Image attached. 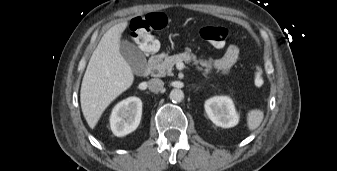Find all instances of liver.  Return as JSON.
<instances>
[{"label":"liver","instance_id":"liver-1","mask_svg":"<svg viewBox=\"0 0 337 171\" xmlns=\"http://www.w3.org/2000/svg\"><path fill=\"white\" fill-rule=\"evenodd\" d=\"M127 25V22L118 23L102 36L84 74L80 102L92 129L108 105L134 81L132 69L120 52V39Z\"/></svg>","mask_w":337,"mask_h":171}]
</instances>
